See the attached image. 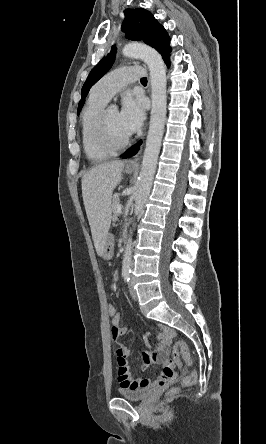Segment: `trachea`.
<instances>
[{"label":"trachea","mask_w":266,"mask_h":444,"mask_svg":"<svg viewBox=\"0 0 266 444\" xmlns=\"http://www.w3.org/2000/svg\"><path fill=\"white\" fill-rule=\"evenodd\" d=\"M141 82H147V78L146 77L141 78Z\"/></svg>","instance_id":"3493384b"}]
</instances>
